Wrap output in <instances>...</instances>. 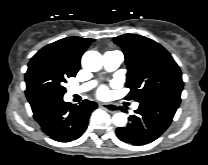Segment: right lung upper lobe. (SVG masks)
Wrapping results in <instances>:
<instances>
[{
  "label": "right lung upper lobe",
  "mask_w": 208,
  "mask_h": 165,
  "mask_svg": "<svg viewBox=\"0 0 208 165\" xmlns=\"http://www.w3.org/2000/svg\"><path fill=\"white\" fill-rule=\"evenodd\" d=\"M93 41V39L67 37L45 46L40 52H50L67 66L79 71L81 56ZM38 107H33L32 110Z\"/></svg>",
  "instance_id": "cb5924a9"
}]
</instances>
